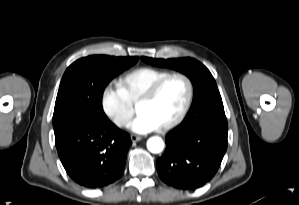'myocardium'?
<instances>
[{
  "instance_id": "obj_1",
  "label": "myocardium",
  "mask_w": 299,
  "mask_h": 205,
  "mask_svg": "<svg viewBox=\"0 0 299 205\" xmlns=\"http://www.w3.org/2000/svg\"><path fill=\"white\" fill-rule=\"evenodd\" d=\"M172 78H180L182 79L186 86H187V95H186V99L185 102L180 110V112L177 114V116L175 118H173L171 121L167 122L166 124L162 125L159 127V130L161 131H167L170 130L174 127H176L177 125H179L184 118L186 117L192 101H193V97H194V85L192 80L184 73L181 72H172V73H168L167 75L161 77L160 79H158L157 81H155L138 99L137 103H136V108L138 110V107L142 104H146L148 102H150L156 95L157 93L160 91V89L163 87V85L170 79Z\"/></svg>"
}]
</instances>
